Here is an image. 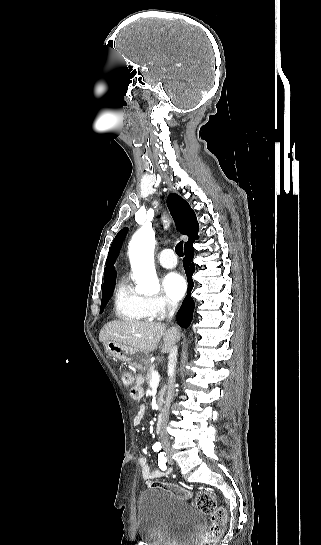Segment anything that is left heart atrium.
<instances>
[{
  "label": "left heart atrium",
  "instance_id": "1",
  "mask_svg": "<svg viewBox=\"0 0 321 545\" xmlns=\"http://www.w3.org/2000/svg\"><path fill=\"white\" fill-rule=\"evenodd\" d=\"M162 287L169 300L180 299L186 290L185 279L177 272H169L162 279Z\"/></svg>",
  "mask_w": 321,
  "mask_h": 545
}]
</instances>
